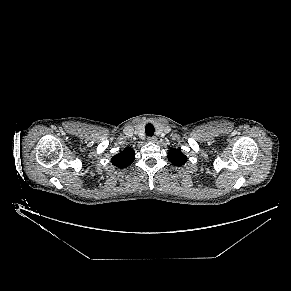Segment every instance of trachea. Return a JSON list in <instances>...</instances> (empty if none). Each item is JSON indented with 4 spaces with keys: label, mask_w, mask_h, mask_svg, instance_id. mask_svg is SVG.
Listing matches in <instances>:
<instances>
[{
    "label": "trachea",
    "mask_w": 291,
    "mask_h": 291,
    "mask_svg": "<svg viewBox=\"0 0 291 291\" xmlns=\"http://www.w3.org/2000/svg\"><path fill=\"white\" fill-rule=\"evenodd\" d=\"M155 129L151 123H148L145 127V133L147 136L152 137L154 135Z\"/></svg>",
    "instance_id": "3493384b"
}]
</instances>
